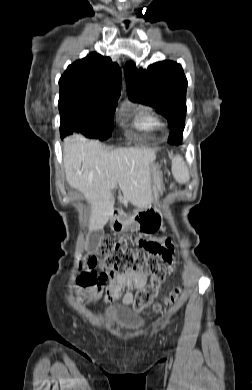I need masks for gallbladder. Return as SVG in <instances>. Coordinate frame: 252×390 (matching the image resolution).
Returning a JSON list of instances; mask_svg holds the SVG:
<instances>
[{
	"mask_svg": "<svg viewBox=\"0 0 252 390\" xmlns=\"http://www.w3.org/2000/svg\"><path fill=\"white\" fill-rule=\"evenodd\" d=\"M100 233V230H97V231H94L93 232V235H97V234H99Z\"/></svg>",
	"mask_w": 252,
	"mask_h": 390,
	"instance_id": "gallbladder-1",
	"label": "gallbladder"
}]
</instances>
